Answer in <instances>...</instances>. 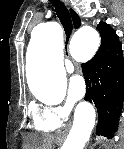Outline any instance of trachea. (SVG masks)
<instances>
[{
  "label": "trachea",
  "mask_w": 124,
  "mask_h": 149,
  "mask_svg": "<svg viewBox=\"0 0 124 149\" xmlns=\"http://www.w3.org/2000/svg\"><path fill=\"white\" fill-rule=\"evenodd\" d=\"M55 7L56 15L59 18L66 35L69 37L72 32V21L67 7L58 0H51Z\"/></svg>",
  "instance_id": "obj_1"
}]
</instances>
